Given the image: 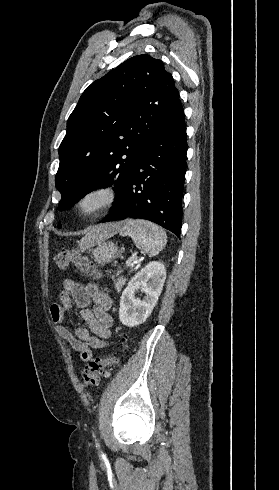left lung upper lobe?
I'll return each instance as SVG.
<instances>
[{
	"label": "left lung upper lobe",
	"instance_id": "left-lung-upper-lobe-1",
	"mask_svg": "<svg viewBox=\"0 0 279 490\" xmlns=\"http://www.w3.org/2000/svg\"><path fill=\"white\" fill-rule=\"evenodd\" d=\"M179 103L172 75L149 55L132 57L93 82L68 118L59 147L58 208L111 185L116 206L146 140Z\"/></svg>",
	"mask_w": 279,
	"mask_h": 490
}]
</instances>
